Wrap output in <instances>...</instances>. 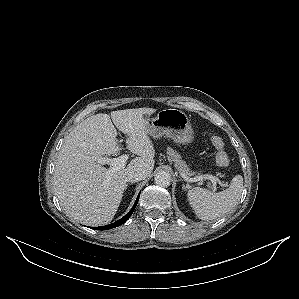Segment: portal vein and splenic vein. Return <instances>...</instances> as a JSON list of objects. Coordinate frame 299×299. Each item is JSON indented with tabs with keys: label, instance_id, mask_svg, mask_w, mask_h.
Here are the masks:
<instances>
[{
	"label": "portal vein and splenic vein",
	"instance_id": "1",
	"mask_svg": "<svg viewBox=\"0 0 299 299\" xmlns=\"http://www.w3.org/2000/svg\"><path fill=\"white\" fill-rule=\"evenodd\" d=\"M127 160H128V155H122L118 158H112V159L101 157L98 159V162L101 164H109L111 167L109 168L108 173L111 174L115 171L124 168ZM180 175L187 182H198L204 179H208L212 182L214 187L216 185V178L212 175L197 176L194 178H189L187 175L183 173H180Z\"/></svg>",
	"mask_w": 299,
	"mask_h": 299
}]
</instances>
